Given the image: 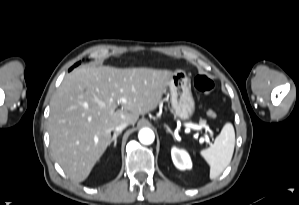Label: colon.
Instances as JSON below:
<instances>
[{"instance_id": "5ec220e1", "label": "colon", "mask_w": 299, "mask_h": 205, "mask_svg": "<svg viewBox=\"0 0 299 205\" xmlns=\"http://www.w3.org/2000/svg\"><path fill=\"white\" fill-rule=\"evenodd\" d=\"M194 86L199 92L205 95H209L214 89V83L207 75L196 76L194 79ZM207 115L211 119L216 118V113L212 109L207 111Z\"/></svg>"}]
</instances>
